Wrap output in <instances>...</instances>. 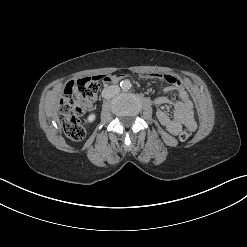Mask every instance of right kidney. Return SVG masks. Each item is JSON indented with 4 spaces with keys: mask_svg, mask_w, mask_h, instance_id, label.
<instances>
[{
    "mask_svg": "<svg viewBox=\"0 0 247 247\" xmlns=\"http://www.w3.org/2000/svg\"><path fill=\"white\" fill-rule=\"evenodd\" d=\"M95 119H96V115L94 113H91L87 118V122L92 123Z\"/></svg>",
    "mask_w": 247,
    "mask_h": 247,
    "instance_id": "obj_1",
    "label": "right kidney"
}]
</instances>
